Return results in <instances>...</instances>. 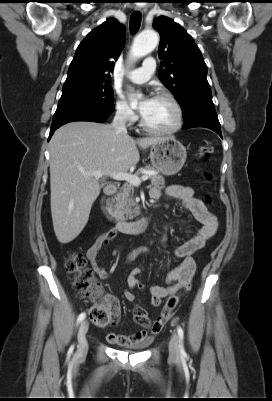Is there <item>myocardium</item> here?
<instances>
[{"label": "myocardium", "mask_w": 272, "mask_h": 401, "mask_svg": "<svg viewBox=\"0 0 272 401\" xmlns=\"http://www.w3.org/2000/svg\"><path fill=\"white\" fill-rule=\"evenodd\" d=\"M155 98L166 99L171 102L176 112V120L174 124L169 128L157 129L148 126L141 117L139 121V126L141 127V129L147 133L155 135H169L180 130L184 121V112L178 99L174 95L167 92H159L155 95Z\"/></svg>", "instance_id": "f54148a6"}]
</instances>
